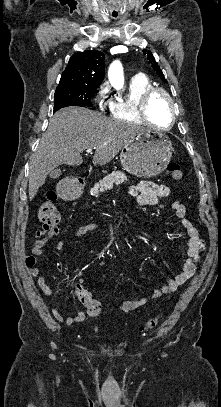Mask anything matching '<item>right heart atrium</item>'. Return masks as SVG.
I'll return each mask as SVG.
<instances>
[{"mask_svg":"<svg viewBox=\"0 0 221 407\" xmlns=\"http://www.w3.org/2000/svg\"><path fill=\"white\" fill-rule=\"evenodd\" d=\"M110 92V86L107 82H103L97 88L95 95H94V103L99 107L103 108L105 105L110 104V100L108 99V95Z\"/></svg>","mask_w":221,"mask_h":407,"instance_id":"d8ad5b80","label":"right heart atrium"}]
</instances>
